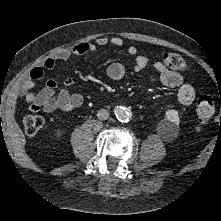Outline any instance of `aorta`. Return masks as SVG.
Instances as JSON below:
<instances>
[{
	"label": "aorta",
	"instance_id": "1",
	"mask_svg": "<svg viewBox=\"0 0 221 221\" xmlns=\"http://www.w3.org/2000/svg\"><path fill=\"white\" fill-rule=\"evenodd\" d=\"M114 113L117 117V119L121 122H126L129 120L130 117V113L128 112V110L122 106H117L114 109Z\"/></svg>",
	"mask_w": 221,
	"mask_h": 221
}]
</instances>
